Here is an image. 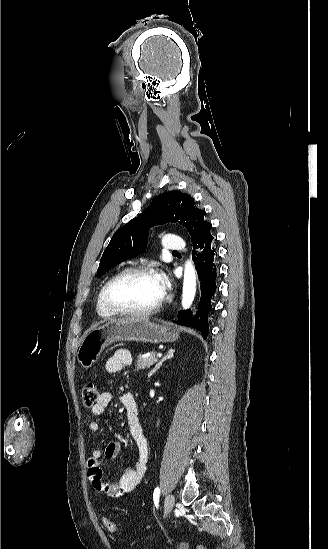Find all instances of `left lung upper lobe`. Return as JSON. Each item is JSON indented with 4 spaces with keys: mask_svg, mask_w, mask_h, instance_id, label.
Instances as JSON below:
<instances>
[{
    "mask_svg": "<svg viewBox=\"0 0 328 549\" xmlns=\"http://www.w3.org/2000/svg\"><path fill=\"white\" fill-rule=\"evenodd\" d=\"M194 199L178 190L156 197L139 216L118 229L103 252L97 276L100 277L120 262L141 253L147 246L148 230L156 224L179 222L189 232L192 243L211 235L212 224Z\"/></svg>",
    "mask_w": 328,
    "mask_h": 549,
    "instance_id": "obj_1",
    "label": "left lung upper lobe"
}]
</instances>
